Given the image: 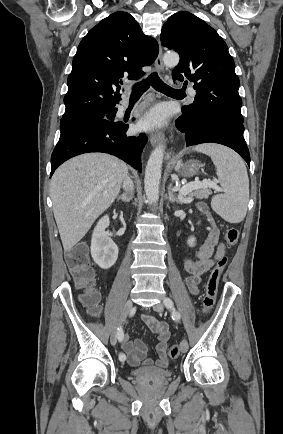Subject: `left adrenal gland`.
I'll return each instance as SVG.
<instances>
[{"mask_svg":"<svg viewBox=\"0 0 283 434\" xmlns=\"http://www.w3.org/2000/svg\"><path fill=\"white\" fill-rule=\"evenodd\" d=\"M168 195H169V201L171 203H175V202L179 203V204L183 203L181 200H179L178 198H176L175 195L173 194V192H172V183L169 184V186H168Z\"/></svg>","mask_w":283,"mask_h":434,"instance_id":"left-adrenal-gland-1","label":"left adrenal gland"}]
</instances>
